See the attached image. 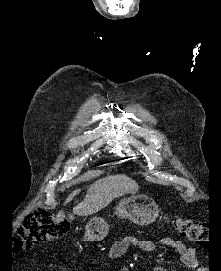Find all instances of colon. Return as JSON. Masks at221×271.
I'll return each instance as SVG.
<instances>
[{
  "label": "colon",
  "mask_w": 221,
  "mask_h": 271,
  "mask_svg": "<svg viewBox=\"0 0 221 271\" xmlns=\"http://www.w3.org/2000/svg\"><path fill=\"white\" fill-rule=\"evenodd\" d=\"M66 219L57 220L49 208L34 209L24 218L22 226L18 229L14 240L15 247L18 250H27L35 244L50 242L65 235L68 232L66 225L70 223ZM171 224L183 238L191 242L204 246L210 241L209 230L203 223L176 217Z\"/></svg>",
  "instance_id": "5ec220e1"
}]
</instances>
